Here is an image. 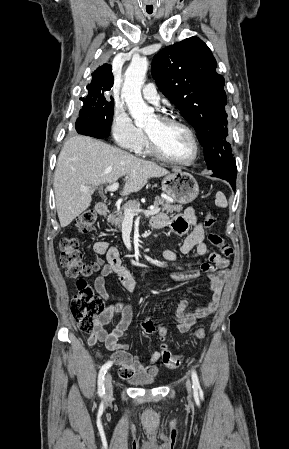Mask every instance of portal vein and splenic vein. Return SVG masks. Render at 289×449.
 Segmentation results:
<instances>
[{"label":"portal vein and splenic vein","mask_w":289,"mask_h":449,"mask_svg":"<svg viewBox=\"0 0 289 449\" xmlns=\"http://www.w3.org/2000/svg\"><path fill=\"white\" fill-rule=\"evenodd\" d=\"M119 187V183L115 182L109 186L106 187V189L108 191H116ZM89 190L88 187H81V191L87 192ZM161 209L160 208H155L153 206H151L148 210H142L140 208L138 209H131V208H126L124 211L125 217L126 218H133L135 215H138L139 213H144L145 215H154L157 214Z\"/></svg>","instance_id":"18ae733b"}]
</instances>
